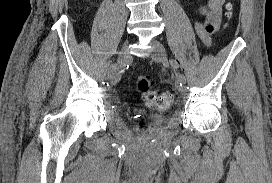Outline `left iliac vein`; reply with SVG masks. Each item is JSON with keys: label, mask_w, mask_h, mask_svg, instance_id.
<instances>
[{"label": "left iliac vein", "mask_w": 272, "mask_h": 183, "mask_svg": "<svg viewBox=\"0 0 272 183\" xmlns=\"http://www.w3.org/2000/svg\"><path fill=\"white\" fill-rule=\"evenodd\" d=\"M152 45V59L156 62H162L168 64L167 54L165 47L162 43L157 40L151 42ZM177 88L180 92H185V87H180L179 82L177 81Z\"/></svg>", "instance_id": "1"}]
</instances>
